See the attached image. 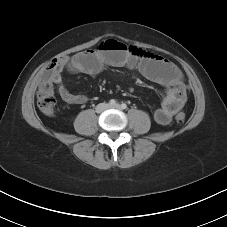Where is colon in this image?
<instances>
[{"instance_id": "5ec220e1", "label": "colon", "mask_w": 227, "mask_h": 227, "mask_svg": "<svg viewBox=\"0 0 227 227\" xmlns=\"http://www.w3.org/2000/svg\"><path fill=\"white\" fill-rule=\"evenodd\" d=\"M130 50L138 56L145 55V52L142 51L141 49L130 47ZM60 61L61 58L54 59L51 65L49 66L48 70L51 71L53 68L58 66L60 64ZM37 105L39 110L47 116H51L55 112L56 100L54 96L53 85L49 79L42 82L39 86L37 92ZM186 117H187L186 112L179 111L175 115V121L177 122V124L181 125L186 121Z\"/></svg>"}]
</instances>
